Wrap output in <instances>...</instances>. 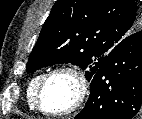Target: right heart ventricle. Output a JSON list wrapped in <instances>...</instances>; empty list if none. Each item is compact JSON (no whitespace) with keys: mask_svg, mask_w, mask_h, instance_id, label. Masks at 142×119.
<instances>
[{"mask_svg":"<svg viewBox=\"0 0 142 119\" xmlns=\"http://www.w3.org/2000/svg\"><path fill=\"white\" fill-rule=\"evenodd\" d=\"M43 76H44V74H39V75L33 77L27 87L26 99H27L30 109L34 110V111L37 110L36 102H35L36 92H37V89L39 87V84H40Z\"/></svg>","mask_w":142,"mask_h":119,"instance_id":"obj_1","label":"right heart ventricle"}]
</instances>
